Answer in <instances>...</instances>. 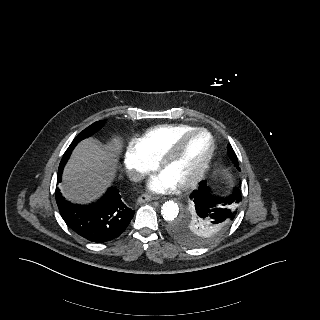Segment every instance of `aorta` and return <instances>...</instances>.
<instances>
[{
    "mask_svg": "<svg viewBox=\"0 0 320 320\" xmlns=\"http://www.w3.org/2000/svg\"><path fill=\"white\" fill-rule=\"evenodd\" d=\"M179 213V207L174 201H166L161 207V215L164 220L172 221Z\"/></svg>",
    "mask_w": 320,
    "mask_h": 320,
    "instance_id": "1",
    "label": "aorta"
}]
</instances>
